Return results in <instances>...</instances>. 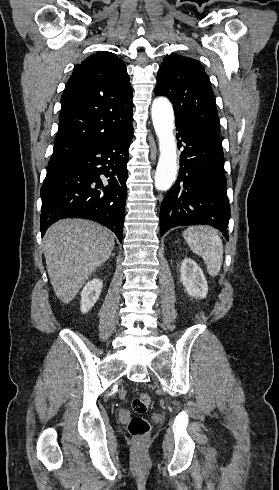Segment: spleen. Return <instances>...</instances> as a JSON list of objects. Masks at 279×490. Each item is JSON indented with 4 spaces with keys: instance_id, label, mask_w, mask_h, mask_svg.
Instances as JSON below:
<instances>
[{
    "instance_id": "spleen-1",
    "label": "spleen",
    "mask_w": 279,
    "mask_h": 490,
    "mask_svg": "<svg viewBox=\"0 0 279 490\" xmlns=\"http://www.w3.org/2000/svg\"><path fill=\"white\" fill-rule=\"evenodd\" d=\"M188 232V236H185ZM184 232L189 248L203 258L209 276H218L223 258L222 240L214 228L209 226H191Z\"/></svg>"
}]
</instances>
